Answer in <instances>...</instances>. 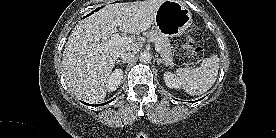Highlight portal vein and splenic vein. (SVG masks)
I'll return each mask as SVG.
<instances>
[{
  "label": "portal vein and splenic vein",
  "instance_id": "portal-vein-and-splenic-vein-1",
  "mask_svg": "<svg viewBox=\"0 0 276 138\" xmlns=\"http://www.w3.org/2000/svg\"><path fill=\"white\" fill-rule=\"evenodd\" d=\"M129 41V42H132L134 39L132 37H121L119 36L118 34H114L112 37H111V40H110V43L112 44H117L119 42H122V41ZM155 50L157 52H160L159 51V47L157 44H155Z\"/></svg>",
  "mask_w": 276,
  "mask_h": 138
}]
</instances>
